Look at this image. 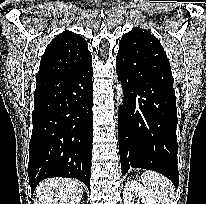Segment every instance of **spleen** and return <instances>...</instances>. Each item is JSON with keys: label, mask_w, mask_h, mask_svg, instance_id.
Wrapping results in <instances>:
<instances>
[{"label": "spleen", "mask_w": 206, "mask_h": 204, "mask_svg": "<svg viewBox=\"0 0 206 204\" xmlns=\"http://www.w3.org/2000/svg\"><path fill=\"white\" fill-rule=\"evenodd\" d=\"M142 182L157 204H174V187L168 178L155 172L145 171Z\"/></svg>", "instance_id": "spleen-1"}]
</instances>
